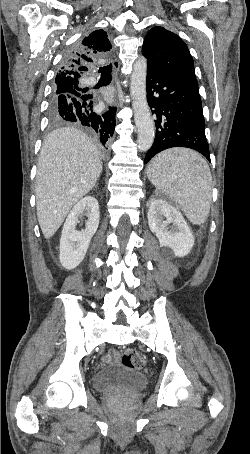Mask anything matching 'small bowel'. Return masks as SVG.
<instances>
[{
	"instance_id": "small-bowel-1",
	"label": "small bowel",
	"mask_w": 250,
	"mask_h": 454,
	"mask_svg": "<svg viewBox=\"0 0 250 454\" xmlns=\"http://www.w3.org/2000/svg\"><path fill=\"white\" fill-rule=\"evenodd\" d=\"M116 357V353L114 351H111L109 354L105 356L106 361H111Z\"/></svg>"
}]
</instances>
